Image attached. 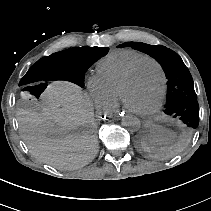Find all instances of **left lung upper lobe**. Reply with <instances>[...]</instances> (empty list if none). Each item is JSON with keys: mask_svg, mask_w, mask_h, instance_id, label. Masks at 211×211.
Returning a JSON list of instances; mask_svg holds the SVG:
<instances>
[{"mask_svg": "<svg viewBox=\"0 0 211 211\" xmlns=\"http://www.w3.org/2000/svg\"><path fill=\"white\" fill-rule=\"evenodd\" d=\"M130 46L155 58L163 67L167 81L165 113L182 120L189 130L199 124V106L192 76L180 56L161 45L128 42L118 47Z\"/></svg>", "mask_w": 211, "mask_h": 211, "instance_id": "obj_1", "label": "left lung upper lobe"}]
</instances>
